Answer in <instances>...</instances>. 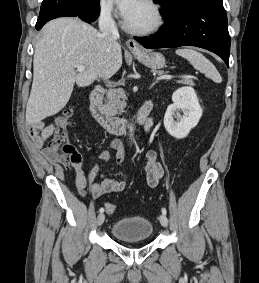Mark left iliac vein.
<instances>
[{"instance_id": "obj_1", "label": "left iliac vein", "mask_w": 259, "mask_h": 283, "mask_svg": "<svg viewBox=\"0 0 259 283\" xmlns=\"http://www.w3.org/2000/svg\"><path fill=\"white\" fill-rule=\"evenodd\" d=\"M159 220H160V223H161V225L163 227H167L168 226V219H167L166 215L160 214Z\"/></svg>"}]
</instances>
